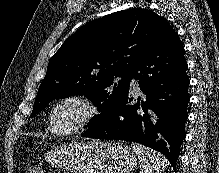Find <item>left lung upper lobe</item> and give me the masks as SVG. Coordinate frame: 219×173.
Here are the masks:
<instances>
[{"mask_svg":"<svg viewBox=\"0 0 219 173\" xmlns=\"http://www.w3.org/2000/svg\"><path fill=\"white\" fill-rule=\"evenodd\" d=\"M172 31L166 19L144 8L115 12L82 26L49 60L31 117L52 100L84 95L101 112L87 125L86 132L96 131L129 93L140 57Z\"/></svg>","mask_w":219,"mask_h":173,"instance_id":"left-lung-upper-lobe-1","label":"left lung upper lobe"}]
</instances>
